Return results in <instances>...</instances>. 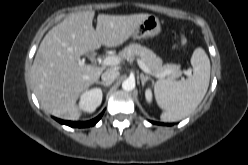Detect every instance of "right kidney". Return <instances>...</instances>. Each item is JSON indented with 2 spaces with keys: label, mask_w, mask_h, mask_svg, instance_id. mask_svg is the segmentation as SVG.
Returning a JSON list of instances; mask_svg holds the SVG:
<instances>
[{
  "label": "right kidney",
  "mask_w": 248,
  "mask_h": 165,
  "mask_svg": "<svg viewBox=\"0 0 248 165\" xmlns=\"http://www.w3.org/2000/svg\"><path fill=\"white\" fill-rule=\"evenodd\" d=\"M102 97L103 93L100 88L87 90L80 97L79 108L85 112L92 113L100 106Z\"/></svg>",
  "instance_id": "ca27d5eb"
}]
</instances>
